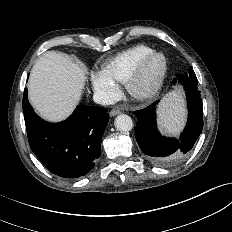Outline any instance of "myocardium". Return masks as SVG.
Segmentation results:
<instances>
[{"label": "myocardium", "instance_id": "f54148a6", "mask_svg": "<svg viewBox=\"0 0 232 232\" xmlns=\"http://www.w3.org/2000/svg\"><path fill=\"white\" fill-rule=\"evenodd\" d=\"M160 60V67L155 77L148 83H143V77L150 63ZM168 70V60L164 53L153 51L144 56L134 67L125 82L126 90L129 95L139 101L153 98L161 89Z\"/></svg>", "mask_w": 232, "mask_h": 232}]
</instances>
